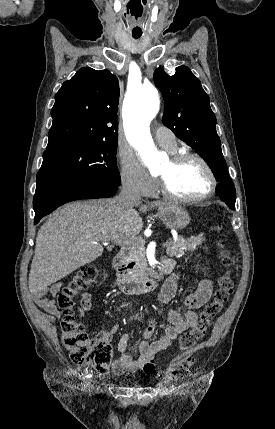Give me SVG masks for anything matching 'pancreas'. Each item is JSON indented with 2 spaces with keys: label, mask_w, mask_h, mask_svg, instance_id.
I'll use <instances>...</instances> for the list:
<instances>
[{
  "label": "pancreas",
  "mask_w": 275,
  "mask_h": 429,
  "mask_svg": "<svg viewBox=\"0 0 275 429\" xmlns=\"http://www.w3.org/2000/svg\"><path fill=\"white\" fill-rule=\"evenodd\" d=\"M203 240V234L191 236L187 239L179 236L176 242L170 239V246L166 248V253L170 257H181L186 252L194 251L197 246L202 244ZM144 245V241H138L135 244V248L130 253V258L135 263L134 268L128 272L132 277L139 276L143 271L147 270L146 251Z\"/></svg>",
  "instance_id": "1"
}]
</instances>
